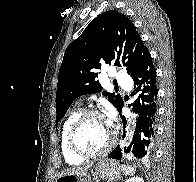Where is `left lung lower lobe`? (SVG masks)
<instances>
[{"label": "left lung lower lobe", "mask_w": 196, "mask_h": 182, "mask_svg": "<svg viewBox=\"0 0 196 182\" xmlns=\"http://www.w3.org/2000/svg\"><path fill=\"white\" fill-rule=\"evenodd\" d=\"M136 85L133 92L139 94L132 106L133 112L139 114L135 135L131 144L125 149V152L132 154L136 158L148 159L153 154V147L156 137L157 120V99L158 88L156 69L154 68L151 55L144 62L143 66L134 75L131 76ZM124 102L118 108L123 122V128H126V119L122 115ZM125 134L123 135V137ZM122 153L119 147L115 148L108 158L121 159Z\"/></svg>", "instance_id": "left-lung-lower-lobe-1"}]
</instances>
